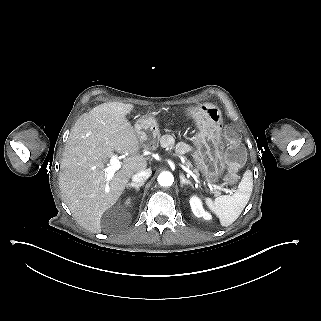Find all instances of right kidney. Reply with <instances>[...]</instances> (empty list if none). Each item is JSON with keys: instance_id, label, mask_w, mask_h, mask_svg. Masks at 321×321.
<instances>
[{"instance_id": "right-kidney-1", "label": "right kidney", "mask_w": 321, "mask_h": 321, "mask_svg": "<svg viewBox=\"0 0 321 321\" xmlns=\"http://www.w3.org/2000/svg\"><path fill=\"white\" fill-rule=\"evenodd\" d=\"M130 203V198H128L126 201H125V204L128 205Z\"/></svg>"}]
</instances>
